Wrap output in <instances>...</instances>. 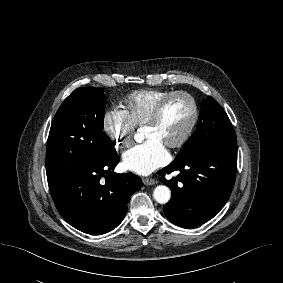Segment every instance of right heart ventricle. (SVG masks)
I'll use <instances>...</instances> for the list:
<instances>
[{
	"instance_id": "right-heart-ventricle-1",
	"label": "right heart ventricle",
	"mask_w": 283,
	"mask_h": 283,
	"mask_svg": "<svg viewBox=\"0 0 283 283\" xmlns=\"http://www.w3.org/2000/svg\"><path fill=\"white\" fill-rule=\"evenodd\" d=\"M171 92L162 89H143L130 93L123 104L135 127L143 126L157 103Z\"/></svg>"
}]
</instances>
